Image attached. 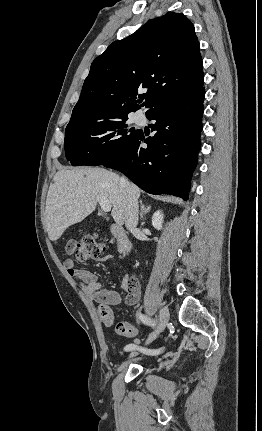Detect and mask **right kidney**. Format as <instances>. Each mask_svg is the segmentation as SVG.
Returning <instances> with one entry per match:
<instances>
[{"label": "right kidney", "mask_w": 262, "mask_h": 431, "mask_svg": "<svg viewBox=\"0 0 262 431\" xmlns=\"http://www.w3.org/2000/svg\"><path fill=\"white\" fill-rule=\"evenodd\" d=\"M163 218L164 215L162 213V211L158 210L156 211L153 216H152V225L155 229L157 230H161L162 229V224H163Z\"/></svg>", "instance_id": "1"}]
</instances>
